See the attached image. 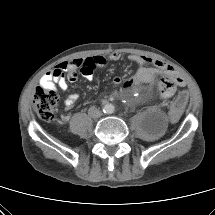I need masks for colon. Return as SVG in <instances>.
<instances>
[{"label":"colon","instance_id":"obj_1","mask_svg":"<svg viewBox=\"0 0 215 215\" xmlns=\"http://www.w3.org/2000/svg\"><path fill=\"white\" fill-rule=\"evenodd\" d=\"M175 81V78L163 80L162 86L159 87V92L171 93L175 87ZM57 101L58 97L55 90L39 87L35 92L33 101L35 112L42 120L51 121L54 118V111L57 105ZM186 101V93H181L176 98L172 105L170 113L172 120H177L181 116Z\"/></svg>","mask_w":215,"mask_h":215}]
</instances>
